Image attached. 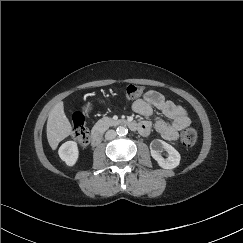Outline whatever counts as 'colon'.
Wrapping results in <instances>:
<instances>
[{
    "instance_id": "1",
    "label": "colon",
    "mask_w": 243,
    "mask_h": 243,
    "mask_svg": "<svg viewBox=\"0 0 243 243\" xmlns=\"http://www.w3.org/2000/svg\"><path fill=\"white\" fill-rule=\"evenodd\" d=\"M142 88L138 85H129L126 87L125 94L127 98L135 100L141 97ZM73 135L79 141L81 146H86L88 142V132L85 126V117L82 112L77 111L72 116ZM181 143L190 147L197 140V133L193 128H186L181 133Z\"/></svg>"
}]
</instances>
